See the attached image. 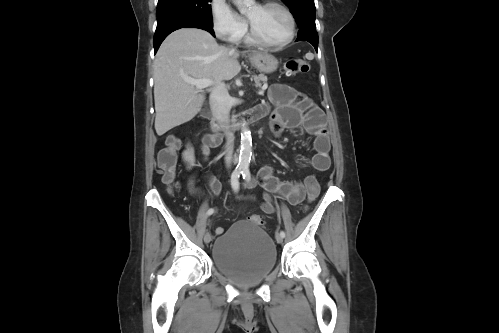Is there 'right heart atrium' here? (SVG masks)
Wrapping results in <instances>:
<instances>
[{
    "label": "right heart atrium",
    "mask_w": 499,
    "mask_h": 333,
    "mask_svg": "<svg viewBox=\"0 0 499 333\" xmlns=\"http://www.w3.org/2000/svg\"><path fill=\"white\" fill-rule=\"evenodd\" d=\"M210 12L212 28L217 37L231 42L242 38L246 24L231 10L225 0H212Z\"/></svg>",
    "instance_id": "right-heart-atrium-1"
}]
</instances>
